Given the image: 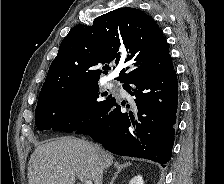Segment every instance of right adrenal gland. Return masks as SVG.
<instances>
[{
  "label": "right adrenal gland",
  "mask_w": 224,
  "mask_h": 184,
  "mask_svg": "<svg viewBox=\"0 0 224 184\" xmlns=\"http://www.w3.org/2000/svg\"><path fill=\"white\" fill-rule=\"evenodd\" d=\"M130 165H131V163H129V162H126V163H123V164H121V163H119V162H115V163H114V167L117 169V171L115 172V175H114V177L112 178L110 184H113V183H114V181H115L116 178L118 177V174L121 172V170H122L123 168H125V167H127V166H130Z\"/></svg>",
  "instance_id": "right-adrenal-gland-1"
}]
</instances>
